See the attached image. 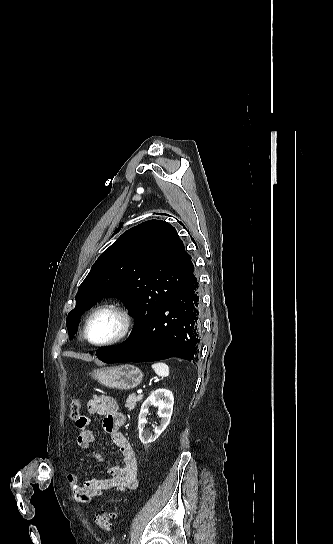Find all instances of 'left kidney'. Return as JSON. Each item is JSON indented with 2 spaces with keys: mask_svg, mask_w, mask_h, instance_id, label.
I'll list each match as a JSON object with an SVG mask.
<instances>
[{
  "mask_svg": "<svg viewBox=\"0 0 333 544\" xmlns=\"http://www.w3.org/2000/svg\"><path fill=\"white\" fill-rule=\"evenodd\" d=\"M174 396L166 389H157L144 401L141 406L138 420L139 439L143 444L154 442L170 423L173 412ZM158 407V416L161 418L159 426L154 428V434L145 430L147 424L148 409L150 406Z\"/></svg>",
  "mask_w": 333,
  "mask_h": 544,
  "instance_id": "1",
  "label": "left kidney"
}]
</instances>
